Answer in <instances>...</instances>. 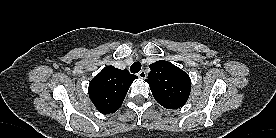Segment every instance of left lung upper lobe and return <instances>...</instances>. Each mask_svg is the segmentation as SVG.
Returning <instances> with one entry per match:
<instances>
[{
  "label": "left lung upper lobe",
  "instance_id": "obj_1",
  "mask_svg": "<svg viewBox=\"0 0 276 138\" xmlns=\"http://www.w3.org/2000/svg\"><path fill=\"white\" fill-rule=\"evenodd\" d=\"M149 67L151 71L145 81L149 84L155 100L167 109L183 106L191 91L189 75L164 60L156 61Z\"/></svg>",
  "mask_w": 276,
  "mask_h": 138
}]
</instances>
